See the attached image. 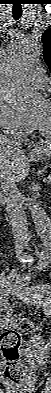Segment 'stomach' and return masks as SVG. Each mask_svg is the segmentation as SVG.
Wrapping results in <instances>:
<instances>
[{
  "instance_id": "0dacf381",
  "label": "stomach",
  "mask_w": 51,
  "mask_h": 393,
  "mask_svg": "<svg viewBox=\"0 0 51 393\" xmlns=\"http://www.w3.org/2000/svg\"><path fill=\"white\" fill-rule=\"evenodd\" d=\"M50 148H51V146H50ZM42 149H43V147H41V148H39L38 150H36L35 151V156L36 157H42V158H44V159H49V160H51V150H50V156L49 157H46L43 153H42Z\"/></svg>"
}]
</instances>
